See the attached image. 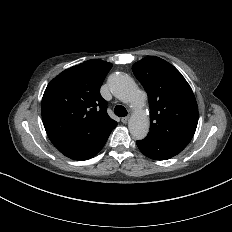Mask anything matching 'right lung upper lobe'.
<instances>
[{
    "instance_id": "cb5924a9",
    "label": "right lung upper lobe",
    "mask_w": 232,
    "mask_h": 232,
    "mask_svg": "<svg viewBox=\"0 0 232 232\" xmlns=\"http://www.w3.org/2000/svg\"><path fill=\"white\" fill-rule=\"evenodd\" d=\"M111 68L106 61L88 60L61 72L48 84L42 98V120L57 149L96 145L116 127L100 95Z\"/></svg>"
}]
</instances>
